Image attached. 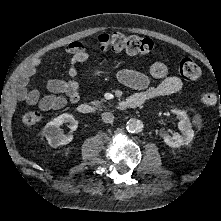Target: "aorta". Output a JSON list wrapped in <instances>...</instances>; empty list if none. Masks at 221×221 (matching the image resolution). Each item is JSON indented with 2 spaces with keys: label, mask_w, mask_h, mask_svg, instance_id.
<instances>
[{
  "label": "aorta",
  "mask_w": 221,
  "mask_h": 221,
  "mask_svg": "<svg viewBox=\"0 0 221 221\" xmlns=\"http://www.w3.org/2000/svg\"><path fill=\"white\" fill-rule=\"evenodd\" d=\"M143 128V122L139 119L130 118L126 123V129L130 133H139Z\"/></svg>",
  "instance_id": "obj_1"
}]
</instances>
